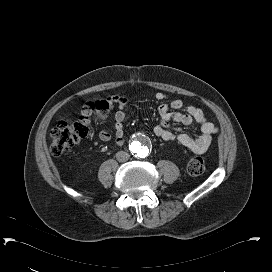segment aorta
Listing matches in <instances>:
<instances>
[{
    "instance_id": "aorta-1",
    "label": "aorta",
    "mask_w": 272,
    "mask_h": 272,
    "mask_svg": "<svg viewBox=\"0 0 272 272\" xmlns=\"http://www.w3.org/2000/svg\"><path fill=\"white\" fill-rule=\"evenodd\" d=\"M150 149V138L142 133L136 135L129 144V150L131 154L138 159L146 158L150 153Z\"/></svg>"
}]
</instances>
